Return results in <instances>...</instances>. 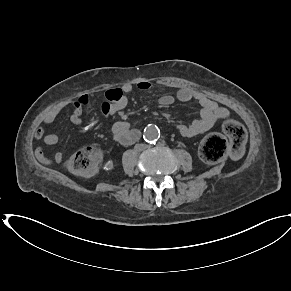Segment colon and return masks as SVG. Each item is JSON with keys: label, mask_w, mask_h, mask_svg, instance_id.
I'll return each mask as SVG.
<instances>
[{"label": "colon", "mask_w": 291, "mask_h": 291, "mask_svg": "<svg viewBox=\"0 0 291 291\" xmlns=\"http://www.w3.org/2000/svg\"><path fill=\"white\" fill-rule=\"evenodd\" d=\"M226 137L212 133L205 137L200 146V156L208 163L220 162L226 155L229 142L235 149H239L246 139L243 125L235 119H226L222 124ZM101 162V151L95 146L81 148L72 154L65 162L66 169L79 176L93 174Z\"/></svg>", "instance_id": "obj_1"}]
</instances>
